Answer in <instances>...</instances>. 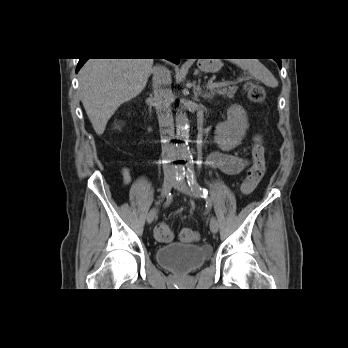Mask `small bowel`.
<instances>
[{
    "label": "small bowel",
    "instance_id": "small-bowel-1",
    "mask_svg": "<svg viewBox=\"0 0 348 348\" xmlns=\"http://www.w3.org/2000/svg\"><path fill=\"white\" fill-rule=\"evenodd\" d=\"M208 164L228 175H237L246 168L247 160L234 154L214 152L209 157ZM121 173L123 176V183L128 185L131 182L129 168L123 167Z\"/></svg>",
    "mask_w": 348,
    "mask_h": 348
}]
</instances>
